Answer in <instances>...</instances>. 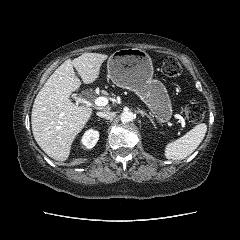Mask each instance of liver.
<instances>
[{"instance_id": "6515ba94", "label": "liver", "mask_w": 240, "mask_h": 240, "mask_svg": "<svg viewBox=\"0 0 240 240\" xmlns=\"http://www.w3.org/2000/svg\"><path fill=\"white\" fill-rule=\"evenodd\" d=\"M105 54L83 53L73 61L68 59L49 77L37 94L31 115L33 136L40 148L52 159L66 161L75 137L92 115V109L76 106L69 100L83 83L91 84L100 75Z\"/></svg>"}]
</instances>
